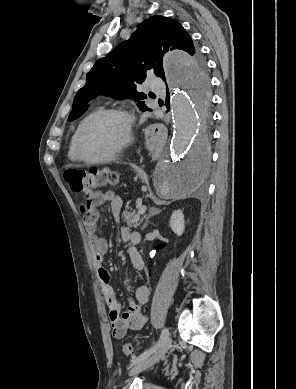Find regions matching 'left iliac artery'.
<instances>
[{
    "label": "left iliac artery",
    "mask_w": 296,
    "mask_h": 389,
    "mask_svg": "<svg viewBox=\"0 0 296 389\" xmlns=\"http://www.w3.org/2000/svg\"><path fill=\"white\" fill-rule=\"evenodd\" d=\"M169 335V332H168V329L167 328H164L161 332V335H160V338L158 340V342L153 346L151 347L150 349L148 350H145L141 355H139L137 358L133 359L132 360V365L138 363L140 360L142 359H145L147 357H149L153 352H155V350L157 349L158 345Z\"/></svg>",
    "instance_id": "1"
}]
</instances>
